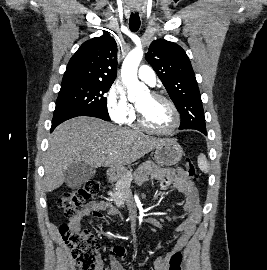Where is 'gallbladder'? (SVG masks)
Masks as SVG:
<instances>
[{"label": "gallbladder", "instance_id": "obj_1", "mask_svg": "<svg viewBox=\"0 0 267 270\" xmlns=\"http://www.w3.org/2000/svg\"><path fill=\"white\" fill-rule=\"evenodd\" d=\"M96 174V169L83 162L70 165L65 171V183L68 187L74 188L85 184Z\"/></svg>", "mask_w": 267, "mask_h": 270}]
</instances>
